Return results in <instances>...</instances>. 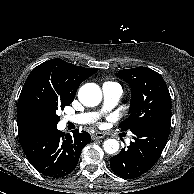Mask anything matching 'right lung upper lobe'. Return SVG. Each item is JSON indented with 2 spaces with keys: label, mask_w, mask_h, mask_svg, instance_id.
Wrapping results in <instances>:
<instances>
[{
  "label": "right lung upper lobe",
  "mask_w": 194,
  "mask_h": 194,
  "mask_svg": "<svg viewBox=\"0 0 194 194\" xmlns=\"http://www.w3.org/2000/svg\"><path fill=\"white\" fill-rule=\"evenodd\" d=\"M97 71V68H84L67 63L61 59H51L35 67L29 74L23 86L17 104V124L19 136L34 129L46 128L28 114L23 102L24 90L34 78H43L52 86L62 90L70 96L75 97L79 85Z\"/></svg>",
  "instance_id": "obj_1"
}]
</instances>
